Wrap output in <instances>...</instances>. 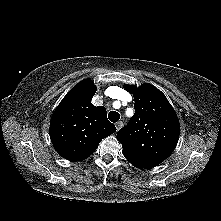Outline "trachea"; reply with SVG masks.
<instances>
[{"mask_svg": "<svg viewBox=\"0 0 221 221\" xmlns=\"http://www.w3.org/2000/svg\"><path fill=\"white\" fill-rule=\"evenodd\" d=\"M108 118L111 122L115 123L120 119V114L116 111H111L108 114Z\"/></svg>", "mask_w": 221, "mask_h": 221, "instance_id": "1", "label": "trachea"}]
</instances>
